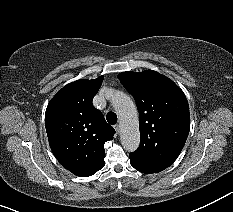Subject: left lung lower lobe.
I'll return each instance as SVG.
<instances>
[{"label":"left lung lower lobe","mask_w":233,"mask_h":212,"mask_svg":"<svg viewBox=\"0 0 233 212\" xmlns=\"http://www.w3.org/2000/svg\"><path fill=\"white\" fill-rule=\"evenodd\" d=\"M131 165L138 171L146 174L158 173L164 170L167 167L152 163L140 156H137L133 153L129 154Z\"/></svg>","instance_id":"obj_1"}]
</instances>
